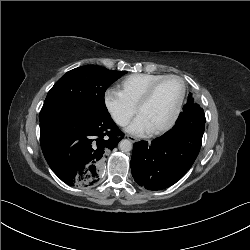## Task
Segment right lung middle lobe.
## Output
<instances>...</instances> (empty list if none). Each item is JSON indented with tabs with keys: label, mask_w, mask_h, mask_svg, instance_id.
Instances as JSON below:
<instances>
[{
	"label": "right lung middle lobe",
	"mask_w": 250,
	"mask_h": 250,
	"mask_svg": "<svg viewBox=\"0 0 250 250\" xmlns=\"http://www.w3.org/2000/svg\"><path fill=\"white\" fill-rule=\"evenodd\" d=\"M126 71L87 65L65 73L51 88L40 112V121L62 112H108L106 89Z\"/></svg>",
	"instance_id": "dd1d6c3e"
}]
</instances>
